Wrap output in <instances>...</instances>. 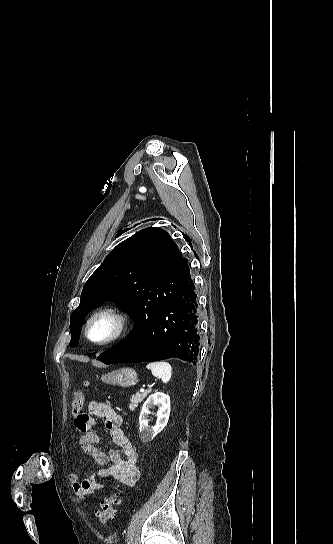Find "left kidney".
I'll use <instances>...</instances> for the list:
<instances>
[{
	"label": "left kidney",
	"instance_id": "1",
	"mask_svg": "<svg viewBox=\"0 0 333 544\" xmlns=\"http://www.w3.org/2000/svg\"><path fill=\"white\" fill-rule=\"evenodd\" d=\"M157 406L156 424L150 428L148 425L150 408ZM170 416V397L162 392H155L144 402L139 416L140 438L143 442H148L160 433L168 423Z\"/></svg>",
	"mask_w": 333,
	"mask_h": 544
}]
</instances>
